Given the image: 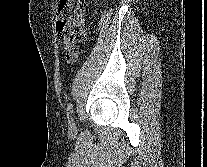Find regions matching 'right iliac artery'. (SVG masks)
<instances>
[{
    "label": "right iliac artery",
    "instance_id": "82829eb1",
    "mask_svg": "<svg viewBox=\"0 0 207 167\" xmlns=\"http://www.w3.org/2000/svg\"><path fill=\"white\" fill-rule=\"evenodd\" d=\"M71 113H72V104L70 103L67 107V117H68V119H69Z\"/></svg>",
    "mask_w": 207,
    "mask_h": 167
}]
</instances>
